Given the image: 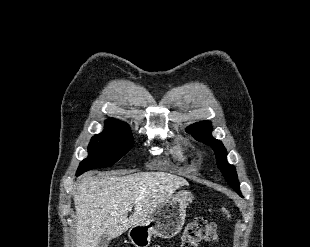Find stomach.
Returning a JSON list of instances; mask_svg holds the SVG:
<instances>
[{
  "label": "stomach",
  "mask_w": 310,
  "mask_h": 247,
  "mask_svg": "<svg viewBox=\"0 0 310 247\" xmlns=\"http://www.w3.org/2000/svg\"><path fill=\"white\" fill-rule=\"evenodd\" d=\"M191 191L180 189L174 195L158 204L148 218L133 225L128 236L135 247H148L153 235L169 239L182 229L186 218V208L192 203Z\"/></svg>",
  "instance_id": "obj_1"
}]
</instances>
